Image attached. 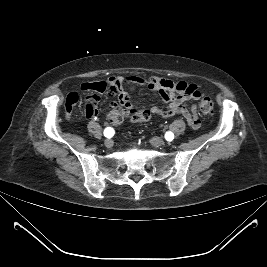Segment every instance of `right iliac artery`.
Here are the masks:
<instances>
[{
	"mask_svg": "<svg viewBox=\"0 0 267 267\" xmlns=\"http://www.w3.org/2000/svg\"><path fill=\"white\" fill-rule=\"evenodd\" d=\"M104 135L107 137V138H110L114 135V130L111 128V127H107L105 130H104Z\"/></svg>",
	"mask_w": 267,
	"mask_h": 267,
	"instance_id": "obj_1",
	"label": "right iliac artery"
}]
</instances>
